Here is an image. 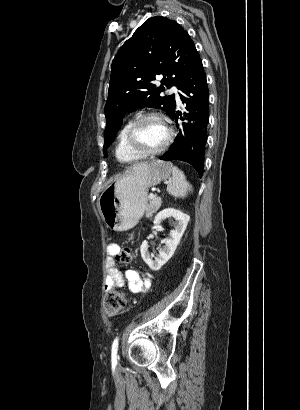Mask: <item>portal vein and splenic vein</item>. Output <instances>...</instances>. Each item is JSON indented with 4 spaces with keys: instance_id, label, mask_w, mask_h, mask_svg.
<instances>
[{
    "instance_id": "obj_1",
    "label": "portal vein and splenic vein",
    "mask_w": 300,
    "mask_h": 410,
    "mask_svg": "<svg viewBox=\"0 0 300 410\" xmlns=\"http://www.w3.org/2000/svg\"><path fill=\"white\" fill-rule=\"evenodd\" d=\"M149 198L153 200V199H155V198H157V197H156L154 194L151 193V194L149 195Z\"/></svg>"
}]
</instances>
